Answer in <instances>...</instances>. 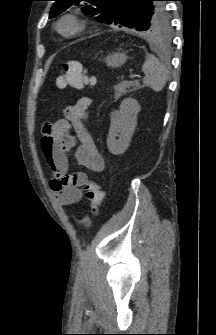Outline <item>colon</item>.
Listing matches in <instances>:
<instances>
[{
    "instance_id": "5ec220e1",
    "label": "colon",
    "mask_w": 216,
    "mask_h": 335,
    "mask_svg": "<svg viewBox=\"0 0 216 335\" xmlns=\"http://www.w3.org/2000/svg\"><path fill=\"white\" fill-rule=\"evenodd\" d=\"M94 82L95 80L87 74V70L80 62L69 61L60 70L56 83L59 88H81ZM82 189L90 202V214L83 217L80 220V224L88 227L99 213V208L104 201V193L100 185L94 181H86Z\"/></svg>"
}]
</instances>
